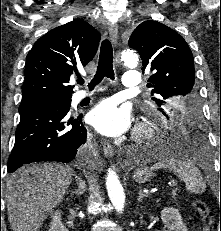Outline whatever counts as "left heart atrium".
I'll return each instance as SVG.
<instances>
[{
	"mask_svg": "<svg viewBox=\"0 0 221 231\" xmlns=\"http://www.w3.org/2000/svg\"><path fill=\"white\" fill-rule=\"evenodd\" d=\"M89 121L97 131L107 136H119L131 125V113L125 106H118L112 99L96 105L89 113Z\"/></svg>",
	"mask_w": 221,
	"mask_h": 231,
	"instance_id": "1",
	"label": "left heart atrium"
}]
</instances>
